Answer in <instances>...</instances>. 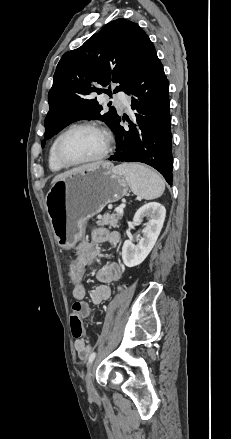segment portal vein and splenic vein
<instances>
[{
  "instance_id": "1",
  "label": "portal vein and splenic vein",
  "mask_w": 231,
  "mask_h": 439,
  "mask_svg": "<svg viewBox=\"0 0 231 439\" xmlns=\"http://www.w3.org/2000/svg\"><path fill=\"white\" fill-rule=\"evenodd\" d=\"M124 207H125V204H122L121 206L117 207V208L115 209V211H116L117 213L123 214V212H124Z\"/></svg>"
}]
</instances>
